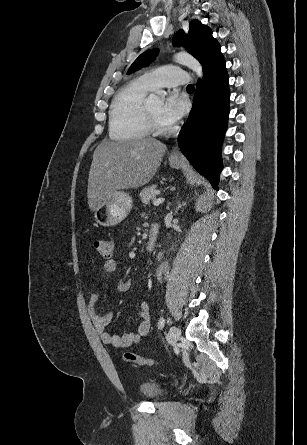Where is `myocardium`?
Listing matches in <instances>:
<instances>
[{"instance_id": "1", "label": "myocardium", "mask_w": 307, "mask_h": 445, "mask_svg": "<svg viewBox=\"0 0 307 445\" xmlns=\"http://www.w3.org/2000/svg\"><path fill=\"white\" fill-rule=\"evenodd\" d=\"M144 114H145V117L147 119L148 126H149V128H150V130L152 132L160 134V133H168V132H172L173 131V127L172 126H167V127L162 126L156 120V118L154 117V115H153V113H152V111L150 109V105H149V101L148 100H146L145 104H144ZM151 139H159V138L152 137Z\"/></svg>"}]
</instances>
